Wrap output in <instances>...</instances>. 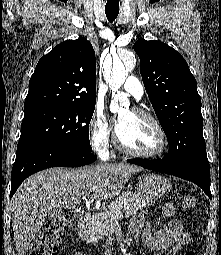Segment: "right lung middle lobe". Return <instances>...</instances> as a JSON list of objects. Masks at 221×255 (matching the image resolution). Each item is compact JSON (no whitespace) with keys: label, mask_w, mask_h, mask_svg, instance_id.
I'll use <instances>...</instances> for the list:
<instances>
[{"label":"right lung middle lobe","mask_w":221,"mask_h":255,"mask_svg":"<svg viewBox=\"0 0 221 255\" xmlns=\"http://www.w3.org/2000/svg\"><path fill=\"white\" fill-rule=\"evenodd\" d=\"M95 104L46 106L25 111L19 141L32 140L92 151L89 123Z\"/></svg>","instance_id":"right-lung-middle-lobe-1"}]
</instances>
